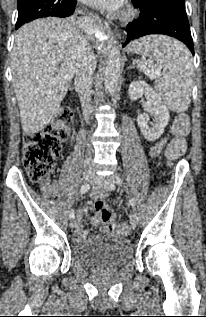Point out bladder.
Returning <instances> with one entry per match:
<instances>
[{"label":"bladder","instance_id":"obj_1","mask_svg":"<svg viewBox=\"0 0 206 317\" xmlns=\"http://www.w3.org/2000/svg\"><path fill=\"white\" fill-rule=\"evenodd\" d=\"M133 254L130 240L120 236H101L77 243L72 252L76 262L85 268H116Z\"/></svg>","mask_w":206,"mask_h":317}]
</instances>
